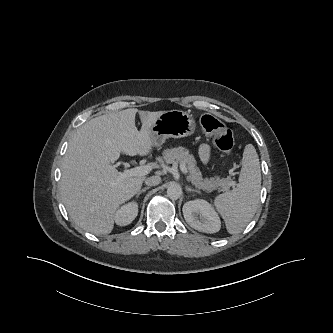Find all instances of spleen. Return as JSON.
Segmentation results:
<instances>
[{
  "mask_svg": "<svg viewBox=\"0 0 333 333\" xmlns=\"http://www.w3.org/2000/svg\"><path fill=\"white\" fill-rule=\"evenodd\" d=\"M261 170L255 147L247 144L242 159L239 183L230 192L215 197L214 205L230 234L240 233L253 218L260 198Z\"/></svg>",
  "mask_w": 333,
  "mask_h": 333,
  "instance_id": "obj_1",
  "label": "spleen"
}]
</instances>
